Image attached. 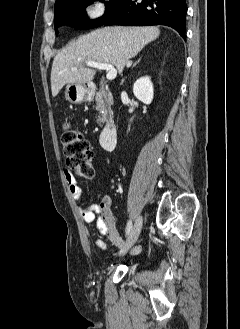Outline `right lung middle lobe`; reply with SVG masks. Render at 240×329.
<instances>
[{"mask_svg":"<svg viewBox=\"0 0 240 329\" xmlns=\"http://www.w3.org/2000/svg\"><path fill=\"white\" fill-rule=\"evenodd\" d=\"M96 0H68L55 9L54 26L57 35V28L61 25H68L78 29H90L101 26L124 2V0L105 1L106 10L102 17L90 21L86 15L85 8ZM104 1V0H99Z\"/></svg>","mask_w":240,"mask_h":329,"instance_id":"right-lung-middle-lobe-1","label":"right lung middle lobe"}]
</instances>
